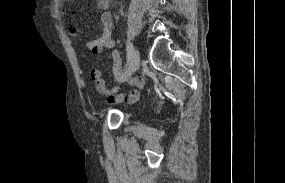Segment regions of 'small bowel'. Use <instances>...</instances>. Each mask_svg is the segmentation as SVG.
I'll return each instance as SVG.
<instances>
[{
  "label": "small bowel",
  "mask_w": 285,
  "mask_h": 183,
  "mask_svg": "<svg viewBox=\"0 0 285 183\" xmlns=\"http://www.w3.org/2000/svg\"><path fill=\"white\" fill-rule=\"evenodd\" d=\"M111 0H97V7L102 10L100 17L96 20L97 24L101 27L102 34L99 38L89 41L87 43L88 49L95 55L101 54L104 50L114 49L115 43L112 38L113 19L109 12ZM113 59V75L117 80L123 79L121 77L122 71V58L117 50L112 52ZM91 80L94 82L96 89L99 93L107 96V102L110 104L122 102L124 99L128 102H134L139 97V92L144 85L142 78H130L128 83L134 87L125 97L118 94L119 86H114L110 90L107 89L104 75L99 69H92L90 72Z\"/></svg>",
  "instance_id": "obj_1"
}]
</instances>
